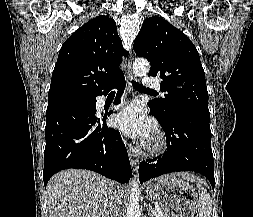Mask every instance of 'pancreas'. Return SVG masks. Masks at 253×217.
I'll list each match as a JSON object with an SVG mask.
<instances>
[{
	"mask_svg": "<svg viewBox=\"0 0 253 217\" xmlns=\"http://www.w3.org/2000/svg\"><path fill=\"white\" fill-rule=\"evenodd\" d=\"M159 209H160V211H161L162 215H161V216L156 215V217H169V216H168V214H167L166 212H164V210H163V208H162V207H160Z\"/></svg>",
	"mask_w": 253,
	"mask_h": 217,
	"instance_id": "1",
	"label": "pancreas"
}]
</instances>
